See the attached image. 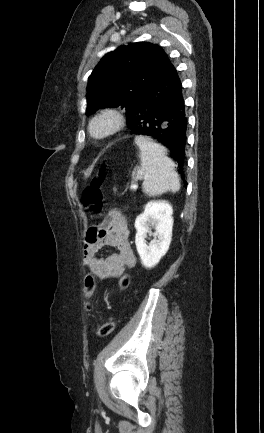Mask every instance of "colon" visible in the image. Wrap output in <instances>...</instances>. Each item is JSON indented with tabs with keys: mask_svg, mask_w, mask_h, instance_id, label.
Here are the masks:
<instances>
[{
	"mask_svg": "<svg viewBox=\"0 0 264 433\" xmlns=\"http://www.w3.org/2000/svg\"><path fill=\"white\" fill-rule=\"evenodd\" d=\"M106 165L104 163L100 164L93 174L90 184L83 191L82 199L84 207L87 211L91 213L93 217H101L104 211V199L101 191L102 184L105 179ZM96 278L93 273H89L84 281V294L87 301V308L91 309L90 298L96 289ZM130 285V277L128 274H123L118 281V286L121 290H125ZM115 328V322L109 320L102 325H100L96 334L100 337H106L110 335Z\"/></svg>",
	"mask_w": 264,
	"mask_h": 433,
	"instance_id": "5ec220e1",
	"label": "colon"
}]
</instances>
